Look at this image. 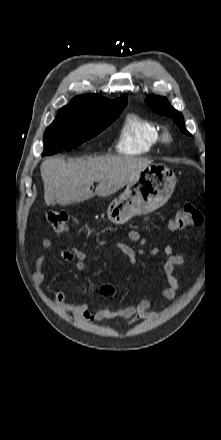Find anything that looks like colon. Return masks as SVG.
Returning a JSON list of instances; mask_svg holds the SVG:
<instances>
[{"mask_svg": "<svg viewBox=\"0 0 221 440\" xmlns=\"http://www.w3.org/2000/svg\"><path fill=\"white\" fill-rule=\"evenodd\" d=\"M47 220L55 232L64 233L68 230L70 223V216L64 211H49L47 213ZM203 220L202 213L192 205L186 204L178 208L174 215L170 229L182 230L188 227L200 226ZM114 289L111 286H104L102 293L104 295L112 294Z\"/></svg>", "mask_w": 221, "mask_h": 440, "instance_id": "obj_1", "label": "colon"}]
</instances>
